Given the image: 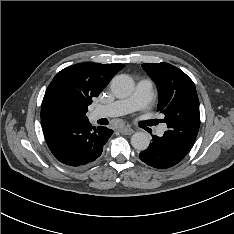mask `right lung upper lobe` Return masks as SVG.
Listing matches in <instances>:
<instances>
[{
    "label": "right lung upper lobe",
    "mask_w": 234,
    "mask_h": 234,
    "mask_svg": "<svg viewBox=\"0 0 234 234\" xmlns=\"http://www.w3.org/2000/svg\"><path fill=\"white\" fill-rule=\"evenodd\" d=\"M123 64L79 63L61 70L49 84L41 110L52 104H63L78 118L86 117L88 106Z\"/></svg>",
    "instance_id": "right-lung-upper-lobe-1"
}]
</instances>
